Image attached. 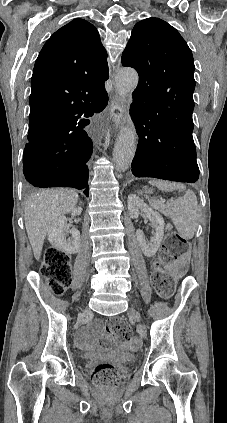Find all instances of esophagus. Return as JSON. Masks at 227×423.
I'll return each instance as SVG.
<instances>
[{"mask_svg": "<svg viewBox=\"0 0 227 423\" xmlns=\"http://www.w3.org/2000/svg\"><path fill=\"white\" fill-rule=\"evenodd\" d=\"M110 107H111L110 114L113 120L115 121V123L120 124L122 121V116H123L122 107L119 105V103L116 101L115 98L111 99Z\"/></svg>", "mask_w": 227, "mask_h": 423, "instance_id": "obj_1", "label": "esophagus"}]
</instances>
